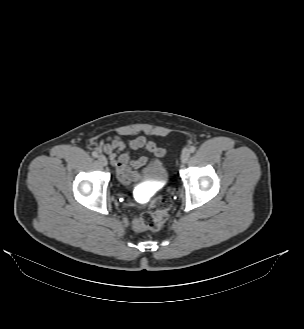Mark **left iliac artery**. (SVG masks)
Instances as JSON below:
<instances>
[{
  "instance_id": "obj_1",
  "label": "left iliac artery",
  "mask_w": 304,
  "mask_h": 329,
  "mask_svg": "<svg viewBox=\"0 0 304 329\" xmlns=\"http://www.w3.org/2000/svg\"><path fill=\"white\" fill-rule=\"evenodd\" d=\"M189 151H190V153H194L196 151V147L195 146H191L189 148Z\"/></svg>"
}]
</instances>
